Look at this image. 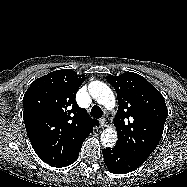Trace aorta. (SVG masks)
I'll return each instance as SVG.
<instances>
[{"label": "aorta", "mask_w": 187, "mask_h": 187, "mask_svg": "<svg viewBox=\"0 0 187 187\" xmlns=\"http://www.w3.org/2000/svg\"><path fill=\"white\" fill-rule=\"evenodd\" d=\"M90 95L108 110H113L116 106L115 96L112 90L103 82L93 81L89 84ZM101 142L105 147H113L117 142V132L113 128L105 129L101 134Z\"/></svg>", "instance_id": "obj_1"}]
</instances>
